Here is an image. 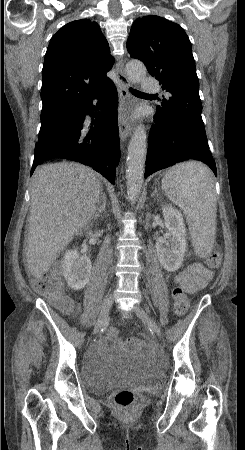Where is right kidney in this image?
Returning a JSON list of instances; mask_svg holds the SVG:
<instances>
[{"label":"right kidney","instance_id":"1","mask_svg":"<svg viewBox=\"0 0 245 450\" xmlns=\"http://www.w3.org/2000/svg\"><path fill=\"white\" fill-rule=\"evenodd\" d=\"M63 275L68 286L73 290L83 289L90 278L92 264L89 257L80 255L76 249L64 254Z\"/></svg>","mask_w":245,"mask_h":450}]
</instances>
